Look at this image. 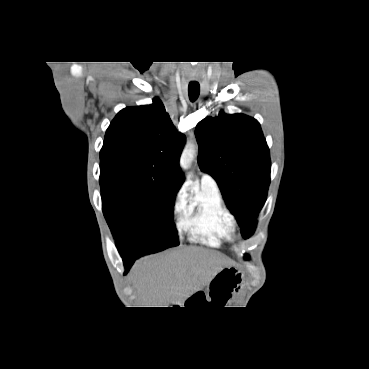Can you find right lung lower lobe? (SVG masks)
Wrapping results in <instances>:
<instances>
[{
  "instance_id": "obj_1",
  "label": "right lung lower lobe",
  "mask_w": 369,
  "mask_h": 369,
  "mask_svg": "<svg viewBox=\"0 0 369 369\" xmlns=\"http://www.w3.org/2000/svg\"><path fill=\"white\" fill-rule=\"evenodd\" d=\"M137 258H123L126 270H129Z\"/></svg>"
}]
</instances>
